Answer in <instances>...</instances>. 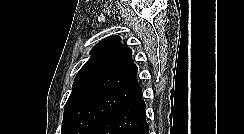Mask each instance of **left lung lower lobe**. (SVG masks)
Here are the masks:
<instances>
[{
	"label": "left lung lower lobe",
	"instance_id": "left-lung-lower-lobe-1",
	"mask_svg": "<svg viewBox=\"0 0 244 134\" xmlns=\"http://www.w3.org/2000/svg\"><path fill=\"white\" fill-rule=\"evenodd\" d=\"M142 95L113 112L95 134H149Z\"/></svg>",
	"mask_w": 244,
	"mask_h": 134
}]
</instances>
